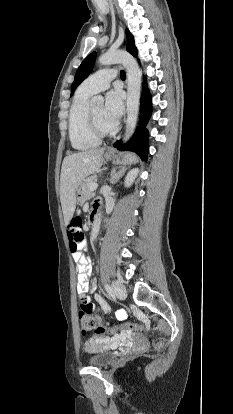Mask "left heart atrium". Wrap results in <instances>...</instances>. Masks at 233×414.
<instances>
[{
  "label": "left heart atrium",
  "mask_w": 233,
  "mask_h": 414,
  "mask_svg": "<svg viewBox=\"0 0 233 414\" xmlns=\"http://www.w3.org/2000/svg\"><path fill=\"white\" fill-rule=\"evenodd\" d=\"M124 105L122 93L119 90H112L107 93L103 108L105 118L113 125L117 124L123 114Z\"/></svg>",
  "instance_id": "left-heart-atrium-1"
}]
</instances>
